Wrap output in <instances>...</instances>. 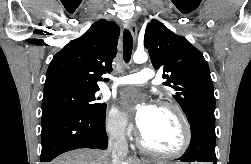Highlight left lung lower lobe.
Returning a JSON list of instances; mask_svg holds the SVG:
<instances>
[{"label": "left lung lower lobe", "mask_w": 251, "mask_h": 164, "mask_svg": "<svg viewBox=\"0 0 251 164\" xmlns=\"http://www.w3.org/2000/svg\"><path fill=\"white\" fill-rule=\"evenodd\" d=\"M191 141L183 162H212L217 164L215 154V118L200 114L190 122Z\"/></svg>", "instance_id": "left-lung-lower-lobe-1"}]
</instances>
